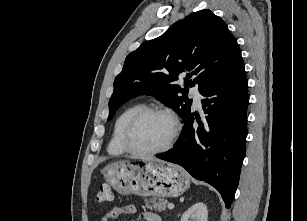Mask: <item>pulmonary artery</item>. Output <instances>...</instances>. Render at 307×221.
I'll list each match as a JSON object with an SVG mask.
<instances>
[{
	"label": "pulmonary artery",
	"instance_id": "obj_1",
	"mask_svg": "<svg viewBox=\"0 0 307 221\" xmlns=\"http://www.w3.org/2000/svg\"><path fill=\"white\" fill-rule=\"evenodd\" d=\"M190 92H191V94H192L193 97H194V103H195V105L198 106V107H200L201 99H202L200 90L198 89L197 86H194V87L191 88Z\"/></svg>",
	"mask_w": 307,
	"mask_h": 221
}]
</instances>
